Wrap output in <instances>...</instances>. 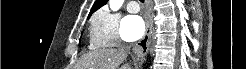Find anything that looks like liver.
Segmentation results:
<instances>
[{
	"mask_svg": "<svg viewBox=\"0 0 246 69\" xmlns=\"http://www.w3.org/2000/svg\"><path fill=\"white\" fill-rule=\"evenodd\" d=\"M127 58L124 49L103 48L83 55L77 64V69H117ZM121 69H130L123 65Z\"/></svg>",
	"mask_w": 246,
	"mask_h": 69,
	"instance_id": "1",
	"label": "liver"
}]
</instances>
